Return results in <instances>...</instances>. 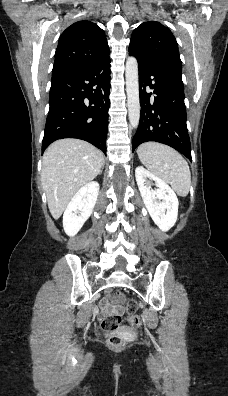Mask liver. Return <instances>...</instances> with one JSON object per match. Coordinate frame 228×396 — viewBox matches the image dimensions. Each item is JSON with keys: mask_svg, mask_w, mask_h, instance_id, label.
<instances>
[{"mask_svg": "<svg viewBox=\"0 0 228 396\" xmlns=\"http://www.w3.org/2000/svg\"><path fill=\"white\" fill-rule=\"evenodd\" d=\"M42 163V187L50 213L58 219L73 196L100 173L104 155L86 141L61 139L46 149Z\"/></svg>", "mask_w": 228, "mask_h": 396, "instance_id": "6515ba94", "label": "liver"}]
</instances>
